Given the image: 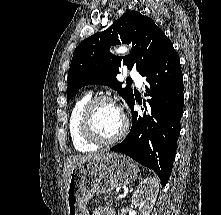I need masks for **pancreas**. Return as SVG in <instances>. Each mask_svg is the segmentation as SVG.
<instances>
[{
    "instance_id": "1",
    "label": "pancreas",
    "mask_w": 221,
    "mask_h": 215,
    "mask_svg": "<svg viewBox=\"0 0 221 215\" xmlns=\"http://www.w3.org/2000/svg\"><path fill=\"white\" fill-rule=\"evenodd\" d=\"M117 199L115 198V195L113 193L111 194H104L103 196L97 197L95 199V203L97 205L104 204L106 206H111L113 202H116Z\"/></svg>"
}]
</instances>
